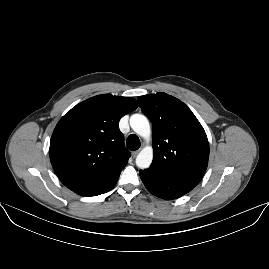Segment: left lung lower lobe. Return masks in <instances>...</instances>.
<instances>
[{
	"label": "left lung lower lobe",
	"instance_id": "left-lung-lower-lobe-1",
	"mask_svg": "<svg viewBox=\"0 0 269 269\" xmlns=\"http://www.w3.org/2000/svg\"><path fill=\"white\" fill-rule=\"evenodd\" d=\"M139 174L149 192L166 200L179 198L191 191L198 184L191 181L156 175L146 170H140Z\"/></svg>",
	"mask_w": 269,
	"mask_h": 269
}]
</instances>
